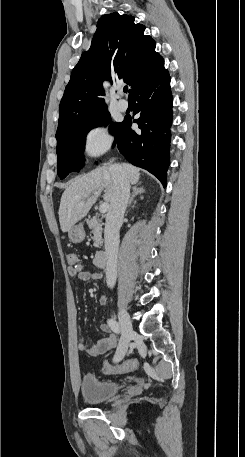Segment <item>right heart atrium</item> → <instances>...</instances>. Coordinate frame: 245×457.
I'll return each mask as SVG.
<instances>
[{"instance_id": "obj_1", "label": "right heart atrium", "mask_w": 245, "mask_h": 457, "mask_svg": "<svg viewBox=\"0 0 245 457\" xmlns=\"http://www.w3.org/2000/svg\"><path fill=\"white\" fill-rule=\"evenodd\" d=\"M111 142V137L104 126L92 128L86 135L85 144L92 154L102 152Z\"/></svg>"}]
</instances>
